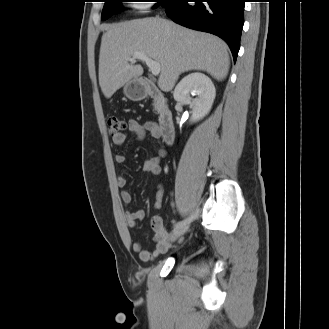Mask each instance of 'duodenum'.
I'll use <instances>...</instances> for the list:
<instances>
[{
	"label": "duodenum",
	"mask_w": 329,
	"mask_h": 329,
	"mask_svg": "<svg viewBox=\"0 0 329 329\" xmlns=\"http://www.w3.org/2000/svg\"><path fill=\"white\" fill-rule=\"evenodd\" d=\"M143 88L145 94L155 100L159 119L160 136H162L166 143L171 144L174 141L175 130L173 114L167 107L166 99L150 79L144 81Z\"/></svg>",
	"instance_id": "1"
}]
</instances>
